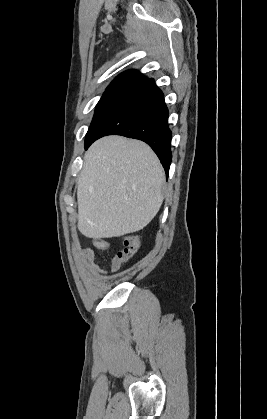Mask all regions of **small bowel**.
Wrapping results in <instances>:
<instances>
[{"label":"small bowel","instance_id":"c3829d8e","mask_svg":"<svg viewBox=\"0 0 267 419\" xmlns=\"http://www.w3.org/2000/svg\"><path fill=\"white\" fill-rule=\"evenodd\" d=\"M93 244L96 248L100 250H106L108 249V243L103 238H95L93 241ZM83 259L90 264V270L93 274L101 275L106 273L104 270H102L99 265L96 263V256L92 249L85 248L82 252ZM120 263L117 260L116 256H112L110 259V266L112 271H116L120 267Z\"/></svg>","mask_w":267,"mask_h":419}]
</instances>
